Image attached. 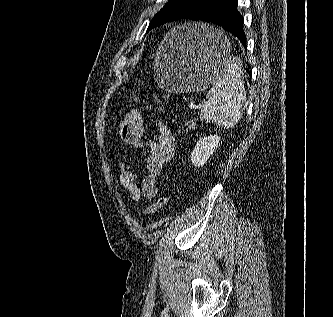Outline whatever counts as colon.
Returning <instances> with one entry per match:
<instances>
[{"instance_id":"colon-1","label":"colon","mask_w":333,"mask_h":317,"mask_svg":"<svg viewBox=\"0 0 333 317\" xmlns=\"http://www.w3.org/2000/svg\"><path fill=\"white\" fill-rule=\"evenodd\" d=\"M135 99L137 101H143L141 98L138 96H135ZM185 126L188 129H191L194 127V120L191 118H187L185 120ZM169 200V195L168 194H161L153 203H151L147 209L145 210V215L146 216H152L154 213H156L162 206H164Z\"/></svg>"}]
</instances>
